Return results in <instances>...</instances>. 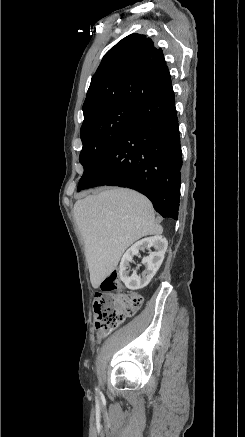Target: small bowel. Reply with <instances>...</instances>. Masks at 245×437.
<instances>
[{
    "mask_svg": "<svg viewBox=\"0 0 245 437\" xmlns=\"http://www.w3.org/2000/svg\"><path fill=\"white\" fill-rule=\"evenodd\" d=\"M105 334H98L99 338H102Z\"/></svg>",
    "mask_w": 245,
    "mask_h": 437,
    "instance_id": "1",
    "label": "small bowel"
}]
</instances>
